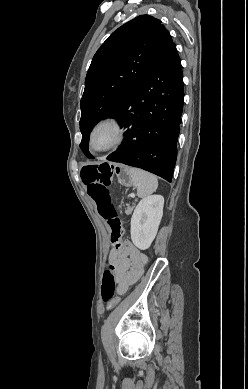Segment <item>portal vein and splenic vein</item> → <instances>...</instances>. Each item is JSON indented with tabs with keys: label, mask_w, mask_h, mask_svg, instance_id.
<instances>
[{
	"label": "portal vein and splenic vein",
	"mask_w": 248,
	"mask_h": 389,
	"mask_svg": "<svg viewBox=\"0 0 248 389\" xmlns=\"http://www.w3.org/2000/svg\"><path fill=\"white\" fill-rule=\"evenodd\" d=\"M135 195L134 194H130V197H134Z\"/></svg>",
	"instance_id": "obj_1"
}]
</instances>
